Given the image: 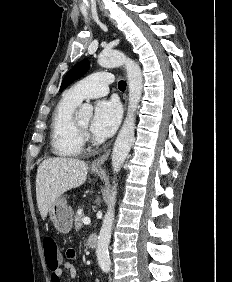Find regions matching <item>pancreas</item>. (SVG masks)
Listing matches in <instances>:
<instances>
[{
    "label": "pancreas",
    "mask_w": 232,
    "mask_h": 282,
    "mask_svg": "<svg viewBox=\"0 0 232 282\" xmlns=\"http://www.w3.org/2000/svg\"><path fill=\"white\" fill-rule=\"evenodd\" d=\"M83 218H84V214H76L75 216V229L76 231H78L79 229L82 228L83 225Z\"/></svg>",
    "instance_id": "1"
}]
</instances>
